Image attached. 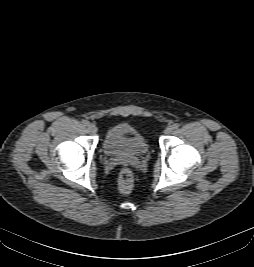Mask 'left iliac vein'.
<instances>
[{
  "label": "left iliac vein",
  "mask_w": 254,
  "mask_h": 267,
  "mask_svg": "<svg viewBox=\"0 0 254 267\" xmlns=\"http://www.w3.org/2000/svg\"><path fill=\"white\" fill-rule=\"evenodd\" d=\"M174 129H175V128H174L173 125H169V126L165 129L164 133H165L166 135H169V134H171V133L173 132Z\"/></svg>",
  "instance_id": "obj_1"
}]
</instances>
